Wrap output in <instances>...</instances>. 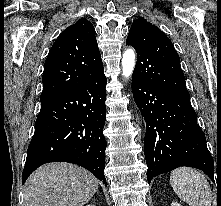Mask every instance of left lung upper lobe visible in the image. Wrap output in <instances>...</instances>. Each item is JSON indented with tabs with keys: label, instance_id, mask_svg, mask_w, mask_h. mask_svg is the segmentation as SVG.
I'll use <instances>...</instances> for the list:
<instances>
[{
	"label": "left lung upper lobe",
	"instance_id": "left-lung-upper-lobe-1",
	"mask_svg": "<svg viewBox=\"0 0 221 206\" xmlns=\"http://www.w3.org/2000/svg\"><path fill=\"white\" fill-rule=\"evenodd\" d=\"M126 44L137 52L133 79L172 95L190 98L179 55L158 27L138 18L130 28Z\"/></svg>",
	"mask_w": 221,
	"mask_h": 206
}]
</instances>
